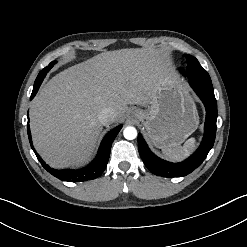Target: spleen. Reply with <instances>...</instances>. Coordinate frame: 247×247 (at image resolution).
Here are the masks:
<instances>
[{"mask_svg":"<svg viewBox=\"0 0 247 247\" xmlns=\"http://www.w3.org/2000/svg\"><path fill=\"white\" fill-rule=\"evenodd\" d=\"M196 146L195 138H189L183 146L163 148L162 153L172 161H180L190 155Z\"/></svg>","mask_w":247,"mask_h":247,"instance_id":"3e777b00","label":"spleen"}]
</instances>
